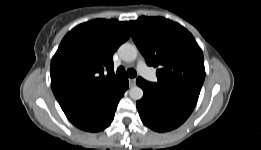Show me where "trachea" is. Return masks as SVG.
<instances>
[{
	"mask_svg": "<svg viewBox=\"0 0 261 150\" xmlns=\"http://www.w3.org/2000/svg\"><path fill=\"white\" fill-rule=\"evenodd\" d=\"M117 75L118 76H124V75H127L128 77L130 78H134L136 77L137 73L134 69H128L127 71L125 70V68L123 66H120L118 69H117Z\"/></svg>",
	"mask_w": 261,
	"mask_h": 150,
	"instance_id": "obj_1",
	"label": "trachea"
}]
</instances>
